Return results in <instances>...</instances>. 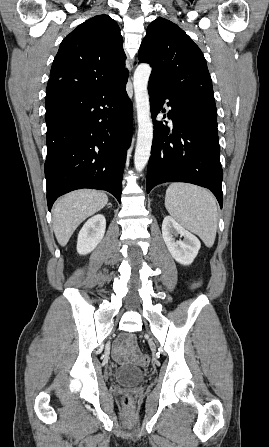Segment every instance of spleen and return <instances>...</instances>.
Wrapping results in <instances>:
<instances>
[{
    "instance_id": "spleen-1",
    "label": "spleen",
    "mask_w": 269,
    "mask_h": 447,
    "mask_svg": "<svg viewBox=\"0 0 269 447\" xmlns=\"http://www.w3.org/2000/svg\"><path fill=\"white\" fill-rule=\"evenodd\" d=\"M165 208L178 224L212 247L218 218L216 200L209 190L192 184H171L166 192Z\"/></svg>"
}]
</instances>
